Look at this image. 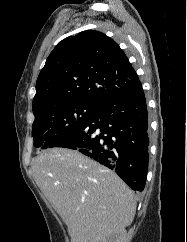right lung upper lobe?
<instances>
[{
	"label": "right lung upper lobe",
	"instance_id": "1",
	"mask_svg": "<svg viewBox=\"0 0 187 242\" xmlns=\"http://www.w3.org/2000/svg\"><path fill=\"white\" fill-rule=\"evenodd\" d=\"M140 86L116 42L101 32L83 31L65 38L50 53L37 79L33 113L72 102L101 105Z\"/></svg>",
	"mask_w": 187,
	"mask_h": 242
}]
</instances>
